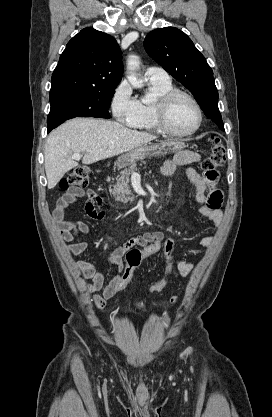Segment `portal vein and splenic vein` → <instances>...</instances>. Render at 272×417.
Returning <instances> with one entry per match:
<instances>
[{
	"instance_id": "portal-vein-and-splenic-vein-1",
	"label": "portal vein and splenic vein",
	"mask_w": 272,
	"mask_h": 417,
	"mask_svg": "<svg viewBox=\"0 0 272 417\" xmlns=\"http://www.w3.org/2000/svg\"><path fill=\"white\" fill-rule=\"evenodd\" d=\"M71 158L74 159V160H80L81 154L80 153H73ZM134 174H136V173H134Z\"/></svg>"
}]
</instances>
